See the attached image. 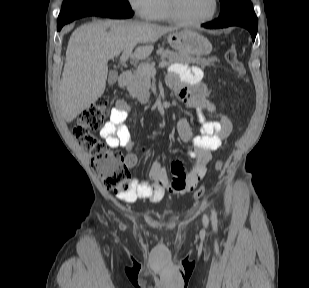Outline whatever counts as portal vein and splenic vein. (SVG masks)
I'll return each mask as SVG.
<instances>
[{"label":"portal vein and splenic vein","mask_w":309,"mask_h":288,"mask_svg":"<svg viewBox=\"0 0 309 288\" xmlns=\"http://www.w3.org/2000/svg\"><path fill=\"white\" fill-rule=\"evenodd\" d=\"M134 46H129L127 47L124 52L122 53L121 57H120V61L122 63H126V61H128V59L131 56V52L133 50ZM168 63L166 61H162L159 63V67H165L167 66ZM139 67L147 70L150 74L154 75L156 73V69L154 68V66H150L144 62L139 63Z\"/></svg>","instance_id":"18ae733b"}]
</instances>
